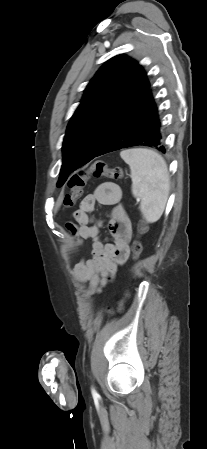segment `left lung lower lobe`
I'll use <instances>...</instances> for the list:
<instances>
[{
  "instance_id": "1",
  "label": "left lung lower lobe",
  "mask_w": 207,
  "mask_h": 449,
  "mask_svg": "<svg viewBox=\"0 0 207 449\" xmlns=\"http://www.w3.org/2000/svg\"><path fill=\"white\" fill-rule=\"evenodd\" d=\"M138 145L153 147L165 153L158 109L150 89L145 97L112 129L94 158Z\"/></svg>"
}]
</instances>
